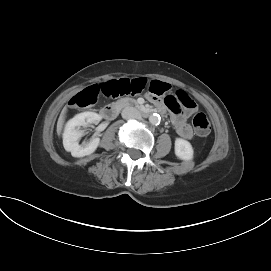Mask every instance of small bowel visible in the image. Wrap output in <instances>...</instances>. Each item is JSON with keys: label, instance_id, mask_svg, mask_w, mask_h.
Instances as JSON below:
<instances>
[{"label": "small bowel", "instance_id": "c3829d8e", "mask_svg": "<svg viewBox=\"0 0 271 271\" xmlns=\"http://www.w3.org/2000/svg\"><path fill=\"white\" fill-rule=\"evenodd\" d=\"M167 82L166 80H151L147 87V99L153 103L161 105V100L154 95H166ZM173 124L178 135L184 139H191L193 137V130L191 126L185 121L181 114L174 113L172 116Z\"/></svg>", "mask_w": 271, "mask_h": 271}]
</instances>
